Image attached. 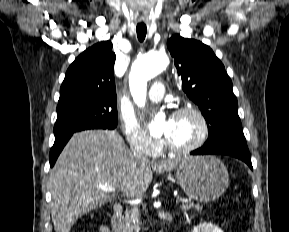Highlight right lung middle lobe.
<instances>
[{"label":"right lung middle lobe","mask_w":289,"mask_h":232,"mask_svg":"<svg viewBox=\"0 0 289 232\" xmlns=\"http://www.w3.org/2000/svg\"><path fill=\"white\" fill-rule=\"evenodd\" d=\"M117 126V101L76 99L57 106L55 138L86 129H114Z\"/></svg>","instance_id":"right-lung-middle-lobe-1"}]
</instances>
